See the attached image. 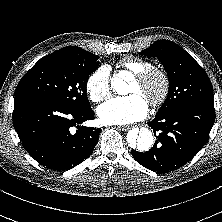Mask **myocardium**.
<instances>
[{
	"label": "myocardium",
	"instance_id": "obj_1",
	"mask_svg": "<svg viewBox=\"0 0 222 222\" xmlns=\"http://www.w3.org/2000/svg\"><path fill=\"white\" fill-rule=\"evenodd\" d=\"M155 78L160 80V89L157 95L149 101V104L154 108L163 105L169 96L171 80L168 73L164 69L151 67L135 74V80L141 84H148Z\"/></svg>",
	"mask_w": 222,
	"mask_h": 222
}]
</instances>
